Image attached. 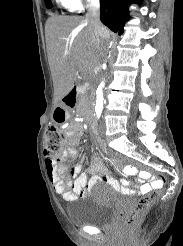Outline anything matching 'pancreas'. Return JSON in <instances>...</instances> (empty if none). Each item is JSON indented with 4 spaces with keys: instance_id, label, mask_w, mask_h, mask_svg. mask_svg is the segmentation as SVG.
Wrapping results in <instances>:
<instances>
[{
    "instance_id": "cf45deb5",
    "label": "pancreas",
    "mask_w": 183,
    "mask_h": 246,
    "mask_svg": "<svg viewBox=\"0 0 183 246\" xmlns=\"http://www.w3.org/2000/svg\"><path fill=\"white\" fill-rule=\"evenodd\" d=\"M86 102H87V96H86V95H82V96H81V99H80V105H81L82 107H84L85 104H86Z\"/></svg>"
}]
</instances>
